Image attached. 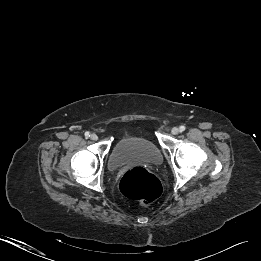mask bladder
<instances>
[{"instance_id": "bladder-1", "label": "bladder", "mask_w": 261, "mask_h": 261, "mask_svg": "<svg viewBox=\"0 0 261 261\" xmlns=\"http://www.w3.org/2000/svg\"><path fill=\"white\" fill-rule=\"evenodd\" d=\"M133 163L159 165L162 163L161 151L156 144L146 138L123 136L112 147L108 166L111 170H117Z\"/></svg>"}]
</instances>
